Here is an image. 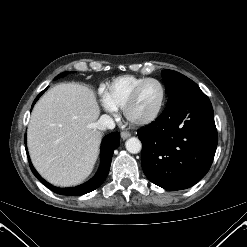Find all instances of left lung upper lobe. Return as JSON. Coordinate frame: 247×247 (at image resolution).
I'll return each mask as SVG.
<instances>
[{"instance_id": "left-lung-upper-lobe-1", "label": "left lung upper lobe", "mask_w": 247, "mask_h": 247, "mask_svg": "<svg viewBox=\"0 0 247 247\" xmlns=\"http://www.w3.org/2000/svg\"><path fill=\"white\" fill-rule=\"evenodd\" d=\"M162 77L168 95L167 103L182 94L200 90L195 82L176 71L163 70Z\"/></svg>"}]
</instances>
